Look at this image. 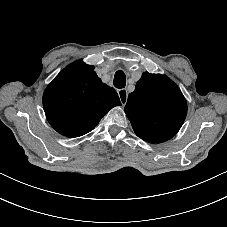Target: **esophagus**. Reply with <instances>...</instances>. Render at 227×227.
<instances>
[{"mask_svg": "<svg viewBox=\"0 0 227 227\" xmlns=\"http://www.w3.org/2000/svg\"><path fill=\"white\" fill-rule=\"evenodd\" d=\"M117 93L120 98V102H121L122 106H125V104L127 103V99H128L127 89H118Z\"/></svg>", "mask_w": 227, "mask_h": 227, "instance_id": "1", "label": "esophagus"}]
</instances>
